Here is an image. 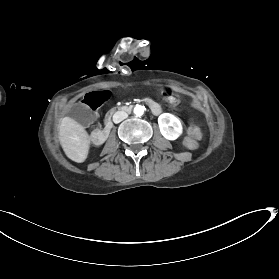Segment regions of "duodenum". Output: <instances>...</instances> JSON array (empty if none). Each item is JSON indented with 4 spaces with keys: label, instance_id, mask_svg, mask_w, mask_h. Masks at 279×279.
Listing matches in <instances>:
<instances>
[{
    "label": "duodenum",
    "instance_id": "410a0bca",
    "mask_svg": "<svg viewBox=\"0 0 279 279\" xmlns=\"http://www.w3.org/2000/svg\"><path fill=\"white\" fill-rule=\"evenodd\" d=\"M141 103L147 104L153 112H159L161 110V105L158 102H154L151 98L145 97L143 100H141ZM119 110L121 112H131L133 110V107L131 105H121L119 107ZM114 116L112 114H108L106 116V123L107 126L102 130L99 127H94L90 131V136L92 139V143L97 145H102V141L106 138L108 133L112 131L114 128Z\"/></svg>",
    "mask_w": 279,
    "mask_h": 279
}]
</instances>
